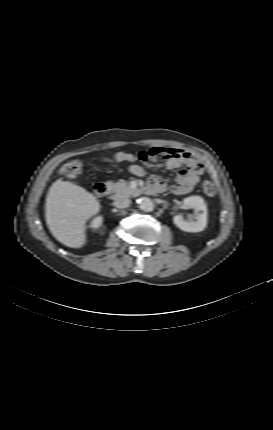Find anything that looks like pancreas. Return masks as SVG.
I'll list each match as a JSON object with an SVG mask.
<instances>
[{"label": "pancreas", "instance_id": "cf45deb5", "mask_svg": "<svg viewBox=\"0 0 273 430\" xmlns=\"http://www.w3.org/2000/svg\"><path fill=\"white\" fill-rule=\"evenodd\" d=\"M114 192V199L129 198L138 193L137 189H133L127 182L120 181L116 183H108Z\"/></svg>", "mask_w": 273, "mask_h": 430}]
</instances>
